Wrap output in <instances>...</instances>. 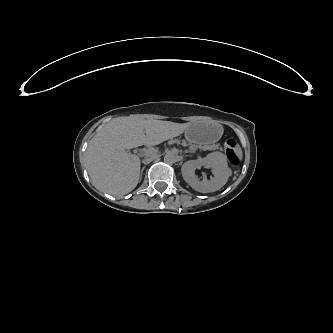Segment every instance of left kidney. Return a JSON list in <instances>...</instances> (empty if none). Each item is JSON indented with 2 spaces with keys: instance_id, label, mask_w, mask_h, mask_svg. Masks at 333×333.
<instances>
[{
  "instance_id": "left-kidney-1",
  "label": "left kidney",
  "mask_w": 333,
  "mask_h": 333,
  "mask_svg": "<svg viewBox=\"0 0 333 333\" xmlns=\"http://www.w3.org/2000/svg\"><path fill=\"white\" fill-rule=\"evenodd\" d=\"M204 166L211 169L213 177L200 180L195 170ZM182 176L184 180L196 191L201 193L215 192L221 189L228 181L231 169L225 156L220 152L207 154L204 158L189 160L182 165Z\"/></svg>"
}]
</instances>
